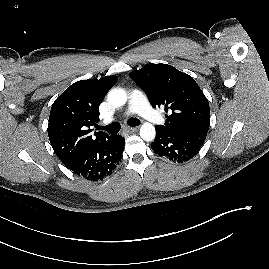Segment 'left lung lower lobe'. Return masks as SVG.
I'll use <instances>...</instances> for the list:
<instances>
[{
	"instance_id": "1",
	"label": "left lung lower lobe",
	"mask_w": 269,
	"mask_h": 269,
	"mask_svg": "<svg viewBox=\"0 0 269 269\" xmlns=\"http://www.w3.org/2000/svg\"><path fill=\"white\" fill-rule=\"evenodd\" d=\"M206 135L204 133L167 132L156 126V139L151 148L161 157L182 163L198 153Z\"/></svg>"
}]
</instances>
